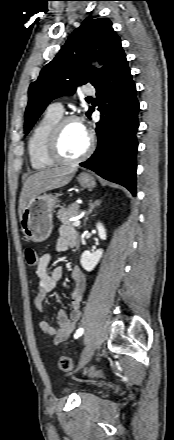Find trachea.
<instances>
[{
	"label": "trachea",
	"mask_w": 174,
	"mask_h": 440,
	"mask_svg": "<svg viewBox=\"0 0 174 440\" xmlns=\"http://www.w3.org/2000/svg\"><path fill=\"white\" fill-rule=\"evenodd\" d=\"M86 99H87V100H92L93 98H92V97H87Z\"/></svg>",
	"instance_id": "1"
}]
</instances>
